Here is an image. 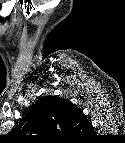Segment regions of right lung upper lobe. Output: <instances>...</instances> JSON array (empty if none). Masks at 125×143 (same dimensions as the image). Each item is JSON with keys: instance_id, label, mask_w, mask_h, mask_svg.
<instances>
[{"instance_id": "cb5924a9", "label": "right lung upper lobe", "mask_w": 125, "mask_h": 143, "mask_svg": "<svg viewBox=\"0 0 125 143\" xmlns=\"http://www.w3.org/2000/svg\"><path fill=\"white\" fill-rule=\"evenodd\" d=\"M29 111L28 119L35 129L52 128L75 133L90 127L81 110L62 98L43 97Z\"/></svg>"}]
</instances>
